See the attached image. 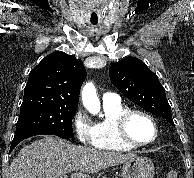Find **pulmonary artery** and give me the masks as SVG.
Segmentation results:
<instances>
[{
	"label": "pulmonary artery",
	"mask_w": 194,
	"mask_h": 178,
	"mask_svg": "<svg viewBox=\"0 0 194 178\" xmlns=\"http://www.w3.org/2000/svg\"><path fill=\"white\" fill-rule=\"evenodd\" d=\"M103 103L119 101V97L115 93H105L102 97Z\"/></svg>",
	"instance_id": "pulmonary-artery-1"
}]
</instances>
